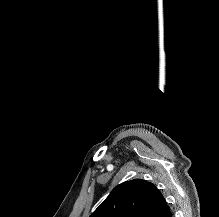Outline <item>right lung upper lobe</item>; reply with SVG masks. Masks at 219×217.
I'll return each instance as SVG.
<instances>
[{
	"label": "right lung upper lobe",
	"mask_w": 219,
	"mask_h": 217,
	"mask_svg": "<svg viewBox=\"0 0 219 217\" xmlns=\"http://www.w3.org/2000/svg\"><path fill=\"white\" fill-rule=\"evenodd\" d=\"M171 210L154 184L141 179L116 186L90 217H170Z\"/></svg>",
	"instance_id": "cb5924a9"
}]
</instances>
